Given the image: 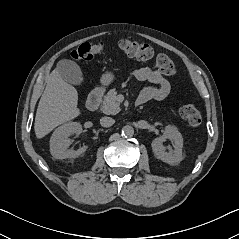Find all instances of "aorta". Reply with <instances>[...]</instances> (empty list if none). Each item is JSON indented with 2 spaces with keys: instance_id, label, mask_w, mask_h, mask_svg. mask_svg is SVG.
<instances>
[{
  "instance_id": "aorta-1",
  "label": "aorta",
  "mask_w": 239,
  "mask_h": 239,
  "mask_svg": "<svg viewBox=\"0 0 239 239\" xmlns=\"http://www.w3.org/2000/svg\"><path fill=\"white\" fill-rule=\"evenodd\" d=\"M122 135L125 137H132L134 135V128L130 125H126L122 128Z\"/></svg>"
}]
</instances>
